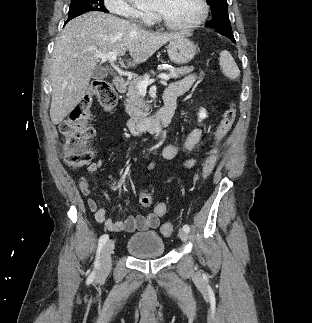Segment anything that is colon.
Returning a JSON list of instances; mask_svg holds the SVG:
<instances>
[{
	"instance_id": "colon-1",
	"label": "colon",
	"mask_w": 312,
	"mask_h": 323,
	"mask_svg": "<svg viewBox=\"0 0 312 323\" xmlns=\"http://www.w3.org/2000/svg\"><path fill=\"white\" fill-rule=\"evenodd\" d=\"M94 93L99 104L104 108H113L117 103V94L108 78L100 77L94 81ZM235 117L236 107L234 102L231 101L215 131L213 138L214 148L210 150L202 166L201 174L204 179L212 174L219 158L216 146L228 135L234 124ZM61 133L64 137L66 160L70 167L81 168L91 162L95 154V149L91 143L94 129L84 119L69 118L64 120ZM139 202L142 205H148L151 203V197L141 195ZM165 207V202H156L153 211L154 213H163ZM174 230V224L171 222L164 223L161 226V232L164 235H171Z\"/></svg>"
}]
</instances>
